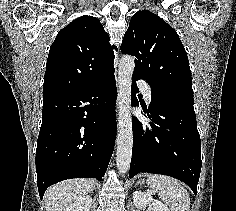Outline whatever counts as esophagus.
<instances>
[{
	"label": "esophagus",
	"mask_w": 236,
	"mask_h": 211,
	"mask_svg": "<svg viewBox=\"0 0 236 211\" xmlns=\"http://www.w3.org/2000/svg\"><path fill=\"white\" fill-rule=\"evenodd\" d=\"M116 110L119 111V98L117 99Z\"/></svg>",
	"instance_id": "esophagus-1"
}]
</instances>
